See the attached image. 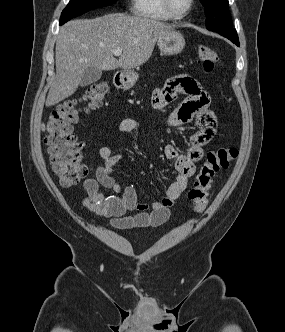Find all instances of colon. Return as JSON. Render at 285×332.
<instances>
[{"mask_svg":"<svg viewBox=\"0 0 285 332\" xmlns=\"http://www.w3.org/2000/svg\"><path fill=\"white\" fill-rule=\"evenodd\" d=\"M198 57L206 72L213 71L219 65L217 52L207 45L198 47ZM108 89L104 81L92 84L81 98L66 101L54 109L44 124V143L52 169L63 186L75 185L87 174L81 154L84 144L74 133L73 125L83 110L96 109L102 104ZM237 156L238 150L233 147H219L207 153L206 161L187 193L196 212H202L207 207L214 176L221 170L229 169Z\"/></svg>","mask_w":285,"mask_h":332,"instance_id":"1","label":"colon"}]
</instances>
